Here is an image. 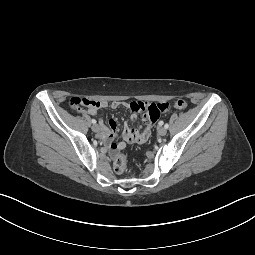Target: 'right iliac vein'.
<instances>
[{"mask_svg":"<svg viewBox=\"0 0 255 255\" xmlns=\"http://www.w3.org/2000/svg\"><path fill=\"white\" fill-rule=\"evenodd\" d=\"M92 130H93L94 132H99V130H100L99 125H98V124H94V125L92 126Z\"/></svg>","mask_w":255,"mask_h":255,"instance_id":"right-iliac-vein-1","label":"right iliac vein"}]
</instances>
